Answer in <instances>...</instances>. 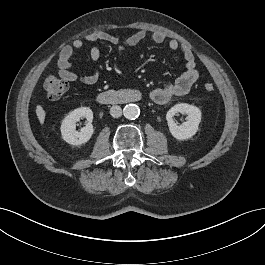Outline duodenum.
<instances>
[{
  "instance_id": "obj_1",
  "label": "duodenum",
  "mask_w": 265,
  "mask_h": 265,
  "mask_svg": "<svg viewBox=\"0 0 265 265\" xmlns=\"http://www.w3.org/2000/svg\"><path fill=\"white\" fill-rule=\"evenodd\" d=\"M141 95L136 90L132 91H118L110 90L104 91L97 95V102L100 104H127L140 100Z\"/></svg>"
}]
</instances>
